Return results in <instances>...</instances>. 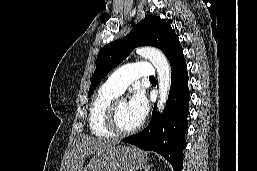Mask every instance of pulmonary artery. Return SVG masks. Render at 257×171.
I'll return each mask as SVG.
<instances>
[{"instance_id":"obj_1","label":"pulmonary artery","mask_w":257,"mask_h":171,"mask_svg":"<svg viewBox=\"0 0 257 171\" xmlns=\"http://www.w3.org/2000/svg\"><path fill=\"white\" fill-rule=\"evenodd\" d=\"M155 69L149 62H133L114 71L107 79L106 85L120 94L136 79L153 77Z\"/></svg>"}]
</instances>
